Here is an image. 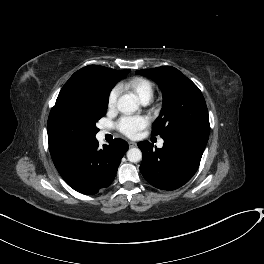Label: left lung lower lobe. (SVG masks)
I'll list each match as a JSON object with an SVG mask.
<instances>
[{
    "mask_svg": "<svg viewBox=\"0 0 264 264\" xmlns=\"http://www.w3.org/2000/svg\"><path fill=\"white\" fill-rule=\"evenodd\" d=\"M209 132L185 129L164 138L161 149L148 141L138 143L142 151L140 171L154 187L174 190L188 182L197 171Z\"/></svg>",
    "mask_w": 264,
    "mask_h": 264,
    "instance_id": "1",
    "label": "left lung lower lobe"
}]
</instances>
